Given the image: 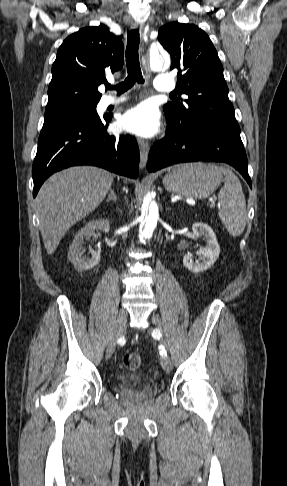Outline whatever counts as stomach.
Segmentation results:
<instances>
[{
  "instance_id": "0dacf381",
  "label": "stomach",
  "mask_w": 287,
  "mask_h": 486,
  "mask_svg": "<svg viewBox=\"0 0 287 486\" xmlns=\"http://www.w3.org/2000/svg\"><path fill=\"white\" fill-rule=\"evenodd\" d=\"M223 180L222 172L211 164L201 162L177 166L163 178L165 189L190 198H205L212 194Z\"/></svg>"
}]
</instances>
